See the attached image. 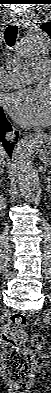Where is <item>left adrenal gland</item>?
<instances>
[{
  "instance_id": "a2214340",
  "label": "left adrenal gland",
  "mask_w": 51,
  "mask_h": 393,
  "mask_svg": "<svg viewBox=\"0 0 51 393\" xmlns=\"http://www.w3.org/2000/svg\"><path fill=\"white\" fill-rule=\"evenodd\" d=\"M45 171V170H44ZM44 173V172H43ZM48 181V186H47V190L48 189H50V182H49V180H47Z\"/></svg>"
}]
</instances>
